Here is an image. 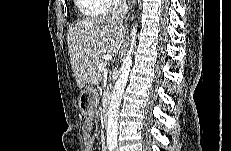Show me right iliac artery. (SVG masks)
<instances>
[{"instance_id":"1","label":"right iliac artery","mask_w":231,"mask_h":151,"mask_svg":"<svg viewBox=\"0 0 231 151\" xmlns=\"http://www.w3.org/2000/svg\"><path fill=\"white\" fill-rule=\"evenodd\" d=\"M108 149H109L110 151H112V150L114 149V147H113V146H110Z\"/></svg>"}]
</instances>
